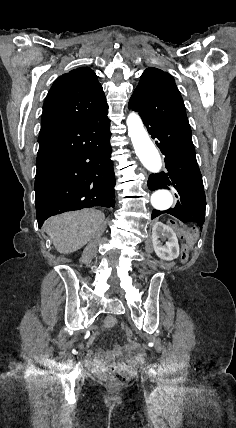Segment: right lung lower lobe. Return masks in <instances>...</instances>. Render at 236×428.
<instances>
[{"instance_id":"obj_1","label":"right lung lower lobe","mask_w":236,"mask_h":428,"mask_svg":"<svg viewBox=\"0 0 236 428\" xmlns=\"http://www.w3.org/2000/svg\"><path fill=\"white\" fill-rule=\"evenodd\" d=\"M107 113L39 134L35 206L39 227L50 216L115 206Z\"/></svg>"}]
</instances>
